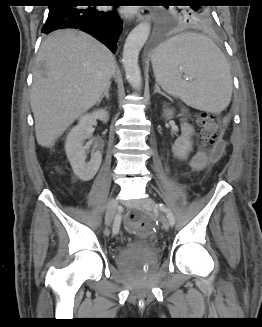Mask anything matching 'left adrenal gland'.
<instances>
[{"instance_id":"left-adrenal-gland-1","label":"left adrenal gland","mask_w":262,"mask_h":327,"mask_svg":"<svg viewBox=\"0 0 262 327\" xmlns=\"http://www.w3.org/2000/svg\"><path fill=\"white\" fill-rule=\"evenodd\" d=\"M154 93H159V94L165 95L163 92H161V90L157 84L155 85Z\"/></svg>"}]
</instances>
